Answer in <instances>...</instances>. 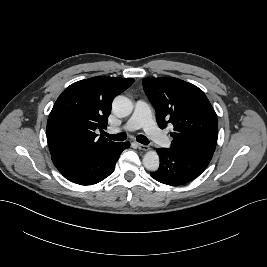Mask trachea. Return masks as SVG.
Instances as JSON below:
<instances>
[{"instance_id": "3493384b", "label": "trachea", "mask_w": 267, "mask_h": 267, "mask_svg": "<svg viewBox=\"0 0 267 267\" xmlns=\"http://www.w3.org/2000/svg\"><path fill=\"white\" fill-rule=\"evenodd\" d=\"M103 135L114 141H124L127 138V135L125 133H118V134L112 135V134L103 132ZM136 139L139 143L144 144V145L149 143V140L144 135H138Z\"/></svg>"}]
</instances>
